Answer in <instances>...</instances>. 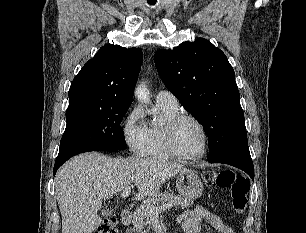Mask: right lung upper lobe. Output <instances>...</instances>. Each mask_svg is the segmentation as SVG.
Instances as JSON below:
<instances>
[{"instance_id":"1","label":"right lung upper lobe","mask_w":306,"mask_h":233,"mask_svg":"<svg viewBox=\"0 0 306 233\" xmlns=\"http://www.w3.org/2000/svg\"><path fill=\"white\" fill-rule=\"evenodd\" d=\"M143 62L142 50L106 44L73 79L69 104L79 101L131 105Z\"/></svg>"}]
</instances>
